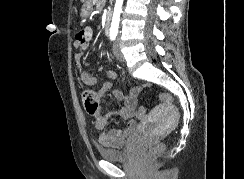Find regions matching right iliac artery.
<instances>
[{"mask_svg": "<svg viewBox=\"0 0 244 179\" xmlns=\"http://www.w3.org/2000/svg\"><path fill=\"white\" fill-rule=\"evenodd\" d=\"M116 36H117V32H114V33L110 32V39L111 40H115Z\"/></svg>", "mask_w": 244, "mask_h": 179, "instance_id": "82829eb1", "label": "right iliac artery"}]
</instances>
